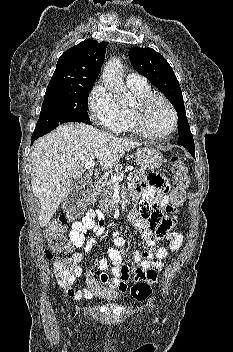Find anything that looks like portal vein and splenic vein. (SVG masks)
I'll return each instance as SVG.
<instances>
[{
    "label": "portal vein and splenic vein",
    "mask_w": 233,
    "mask_h": 352,
    "mask_svg": "<svg viewBox=\"0 0 233 352\" xmlns=\"http://www.w3.org/2000/svg\"><path fill=\"white\" fill-rule=\"evenodd\" d=\"M95 166V161L94 160H89L85 163V168L86 169H92L94 168ZM131 168H127L125 170V172L129 171ZM123 177H124V173H121L120 175H114L111 177V180H112V183L114 185H118L122 180H123Z\"/></svg>",
    "instance_id": "obj_1"
}]
</instances>
